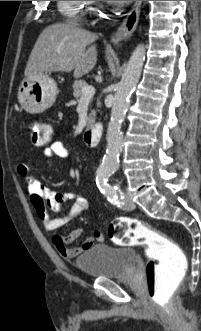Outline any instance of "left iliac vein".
Listing matches in <instances>:
<instances>
[{"mask_svg":"<svg viewBox=\"0 0 201 331\" xmlns=\"http://www.w3.org/2000/svg\"><path fill=\"white\" fill-rule=\"evenodd\" d=\"M130 207L131 208H134L135 207V204L133 202H130Z\"/></svg>","mask_w":201,"mask_h":331,"instance_id":"1","label":"left iliac vein"}]
</instances>
